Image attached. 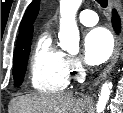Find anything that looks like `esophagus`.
I'll use <instances>...</instances> for the list:
<instances>
[{"mask_svg":"<svg viewBox=\"0 0 123 113\" xmlns=\"http://www.w3.org/2000/svg\"><path fill=\"white\" fill-rule=\"evenodd\" d=\"M110 5H113V2L110 1ZM119 56V41H116L115 49L111 58L110 64L104 69V71L99 75V77L93 82L92 87H96L111 71L113 65L116 63Z\"/></svg>","mask_w":123,"mask_h":113,"instance_id":"esophagus-1","label":"esophagus"}]
</instances>
